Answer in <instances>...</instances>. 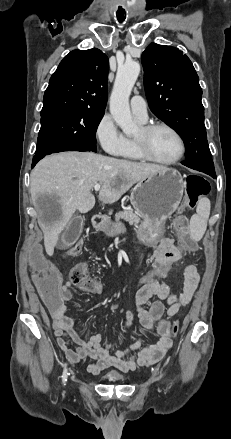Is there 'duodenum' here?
Returning <instances> with one entry per match:
<instances>
[{
	"mask_svg": "<svg viewBox=\"0 0 231 439\" xmlns=\"http://www.w3.org/2000/svg\"><path fill=\"white\" fill-rule=\"evenodd\" d=\"M105 223V218L102 215H94L92 217V225L95 228H100L104 225Z\"/></svg>",
	"mask_w": 231,
	"mask_h": 439,
	"instance_id": "obj_1",
	"label": "duodenum"
}]
</instances>
